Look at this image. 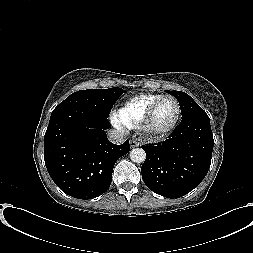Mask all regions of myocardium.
<instances>
[{"label": "myocardium", "mask_w": 253, "mask_h": 253, "mask_svg": "<svg viewBox=\"0 0 253 253\" xmlns=\"http://www.w3.org/2000/svg\"><path fill=\"white\" fill-rule=\"evenodd\" d=\"M164 99H172L175 102L176 108H177L176 116L168 127H166L163 130H156L152 127L153 120H154L155 113L157 111L159 104ZM180 117H181V105L178 99L175 96L169 95V94L161 95L149 107L146 115L144 116L142 122L140 123V130L142 134L146 136L147 138L153 139V140H160L167 137L175 129V127L177 126L179 122Z\"/></svg>", "instance_id": "f54148a6"}]
</instances>
